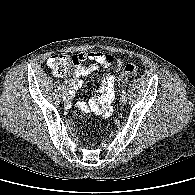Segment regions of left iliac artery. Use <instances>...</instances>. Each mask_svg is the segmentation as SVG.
<instances>
[{
  "label": "left iliac artery",
  "instance_id": "1",
  "mask_svg": "<svg viewBox=\"0 0 195 195\" xmlns=\"http://www.w3.org/2000/svg\"><path fill=\"white\" fill-rule=\"evenodd\" d=\"M122 93H123V95H125L126 94V90H123Z\"/></svg>",
  "mask_w": 195,
  "mask_h": 195
}]
</instances>
